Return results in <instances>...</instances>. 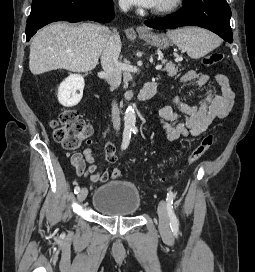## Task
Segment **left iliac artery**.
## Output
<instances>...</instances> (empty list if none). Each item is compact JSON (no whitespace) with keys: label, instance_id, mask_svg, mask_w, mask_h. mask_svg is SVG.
<instances>
[{"label":"left iliac artery","instance_id":"1","mask_svg":"<svg viewBox=\"0 0 255 272\" xmlns=\"http://www.w3.org/2000/svg\"><path fill=\"white\" fill-rule=\"evenodd\" d=\"M132 131L134 134H136L138 130H137V128H133ZM166 201H167V211H168V215L170 218V227H171L172 232L174 234H177L178 230H179V221H178L176 214L173 210V203L175 201V195L172 191H169L167 193Z\"/></svg>","mask_w":255,"mask_h":272}]
</instances>
